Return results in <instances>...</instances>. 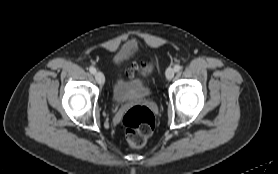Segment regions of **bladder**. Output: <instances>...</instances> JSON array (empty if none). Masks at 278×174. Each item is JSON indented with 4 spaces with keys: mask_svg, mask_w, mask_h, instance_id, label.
I'll use <instances>...</instances> for the list:
<instances>
[{
    "mask_svg": "<svg viewBox=\"0 0 278 174\" xmlns=\"http://www.w3.org/2000/svg\"><path fill=\"white\" fill-rule=\"evenodd\" d=\"M128 54V48L121 49L113 59L114 65L118 67L127 58ZM150 93L149 85L141 78L126 80L117 77L112 86L113 99L120 103L146 98Z\"/></svg>",
    "mask_w": 278,
    "mask_h": 174,
    "instance_id": "1",
    "label": "bladder"
}]
</instances>
